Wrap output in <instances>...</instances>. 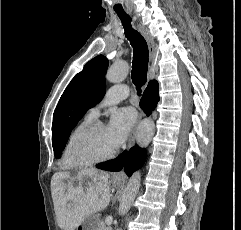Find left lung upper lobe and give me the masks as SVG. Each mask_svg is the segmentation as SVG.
<instances>
[{"instance_id":"obj_1","label":"left lung upper lobe","mask_w":241,"mask_h":230,"mask_svg":"<svg viewBox=\"0 0 241 230\" xmlns=\"http://www.w3.org/2000/svg\"><path fill=\"white\" fill-rule=\"evenodd\" d=\"M108 59L99 55L90 60L70 82L53 114L52 146L59 158L70 132L86 111L98 103L106 92L105 73Z\"/></svg>"}]
</instances>
